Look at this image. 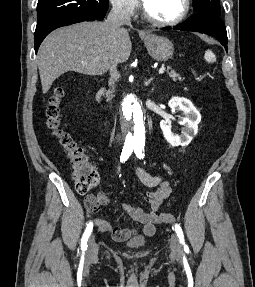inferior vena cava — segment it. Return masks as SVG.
<instances>
[{"label": "inferior vena cava", "mask_w": 255, "mask_h": 287, "mask_svg": "<svg viewBox=\"0 0 255 287\" xmlns=\"http://www.w3.org/2000/svg\"><path fill=\"white\" fill-rule=\"evenodd\" d=\"M106 24H109L114 32H116V30H122L121 26H124V24H131L129 6L124 0L113 2V8L106 20ZM110 76L109 86L114 88L118 76L117 64L110 66Z\"/></svg>", "instance_id": "inferior-vena-cava-1"}]
</instances>
